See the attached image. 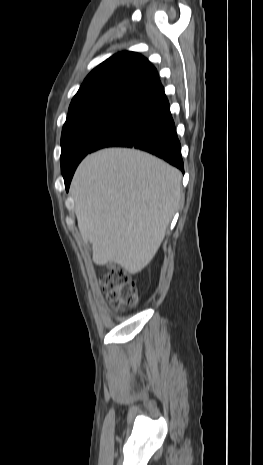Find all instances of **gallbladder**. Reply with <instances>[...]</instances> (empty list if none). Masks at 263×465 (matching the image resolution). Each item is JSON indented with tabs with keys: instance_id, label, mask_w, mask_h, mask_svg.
<instances>
[{
	"instance_id": "gallbladder-1",
	"label": "gallbladder",
	"mask_w": 263,
	"mask_h": 465,
	"mask_svg": "<svg viewBox=\"0 0 263 465\" xmlns=\"http://www.w3.org/2000/svg\"><path fill=\"white\" fill-rule=\"evenodd\" d=\"M85 248H86L87 250H90L91 244H90L89 242H87V243L85 244Z\"/></svg>"
}]
</instances>
